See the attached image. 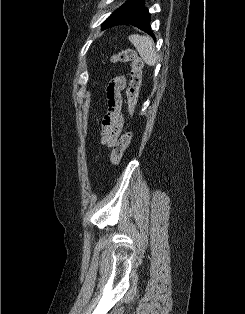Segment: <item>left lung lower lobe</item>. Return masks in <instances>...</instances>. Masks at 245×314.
<instances>
[{"instance_id":"left-lung-lower-lobe-1","label":"left lung lower lobe","mask_w":245,"mask_h":314,"mask_svg":"<svg viewBox=\"0 0 245 314\" xmlns=\"http://www.w3.org/2000/svg\"><path fill=\"white\" fill-rule=\"evenodd\" d=\"M150 14L148 13V10L146 8H142V10L128 23L130 25H133L149 35H151L153 38L154 35L151 32V27H150Z\"/></svg>"}]
</instances>
